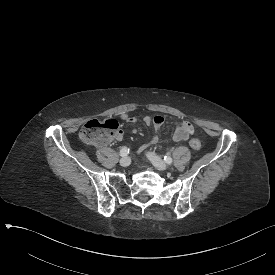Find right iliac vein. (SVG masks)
I'll use <instances>...</instances> for the list:
<instances>
[{
  "label": "right iliac vein",
  "instance_id": "right-iliac-vein-1",
  "mask_svg": "<svg viewBox=\"0 0 275 275\" xmlns=\"http://www.w3.org/2000/svg\"><path fill=\"white\" fill-rule=\"evenodd\" d=\"M130 162H131L130 158L127 157V156H124V157L121 158V160H120V165H121L122 167H127V166L130 165Z\"/></svg>",
  "mask_w": 275,
  "mask_h": 275
}]
</instances>
